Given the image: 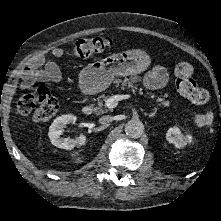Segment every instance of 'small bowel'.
Here are the masks:
<instances>
[{"label": "small bowel", "mask_w": 221, "mask_h": 221, "mask_svg": "<svg viewBox=\"0 0 221 221\" xmlns=\"http://www.w3.org/2000/svg\"><path fill=\"white\" fill-rule=\"evenodd\" d=\"M53 55L61 56L62 50L56 49ZM168 74L164 67H154L145 77V84L150 88H161L166 84ZM62 81V73L58 66L48 60L45 55H39L33 58L23 73L22 87L29 88L36 82H54Z\"/></svg>", "instance_id": "c3829d8e"}]
</instances>
